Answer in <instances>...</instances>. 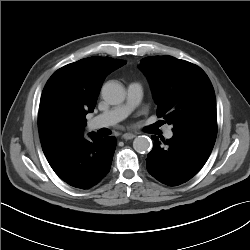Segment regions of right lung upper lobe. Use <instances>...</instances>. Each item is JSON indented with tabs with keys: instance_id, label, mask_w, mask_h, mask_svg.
Instances as JSON below:
<instances>
[{
	"instance_id": "obj_1",
	"label": "right lung upper lobe",
	"mask_w": 250,
	"mask_h": 250,
	"mask_svg": "<svg viewBox=\"0 0 250 250\" xmlns=\"http://www.w3.org/2000/svg\"><path fill=\"white\" fill-rule=\"evenodd\" d=\"M126 64L109 57H89L58 69L41 96L38 128L43 152L83 134L108 74Z\"/></svg>"
}]
</instances>
